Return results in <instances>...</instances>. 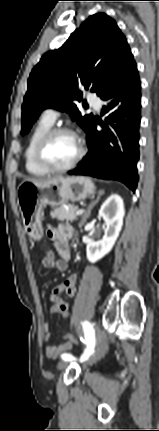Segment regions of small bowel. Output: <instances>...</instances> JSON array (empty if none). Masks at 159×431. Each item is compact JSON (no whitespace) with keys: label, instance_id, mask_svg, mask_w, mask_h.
Instances as JSON below:
<instances>
[{"label":"small bowel","instance_id":"obj_1","mask_svg":"<svg viewBox=\"0 0 159 431\" xmlns=\"http://www.w3.org/2000/svg\"><path fill=\"white\" fill-rule=\"evenodd\" d=\"M47 234L61 259H56L54 255V259L48 261L46 260L45 254L42 258V265L45 268H53L57 272L62 273L67 269V261L70 258L68 239L73 235L72 229L68 225L61 224L57 228L49 227ZM49 262H52V265H49ZM77 280V275L71 274L64 282L51 289L49 294V298L52 302V306L50 308L51 314H61L63 316V310H69V302L65 298L61 297V295L64 294L69 298L74 297L76 294ZM42 329L44 340H49L51 337L49 324L47 322L43 323ZM62 338L64 342L58 345L46 347L45 353L49 358H56L72 348V340L68 339L67 334L62 335Z\"/></svg>","mask_w":159,"mask_h":431}]
</instances>
